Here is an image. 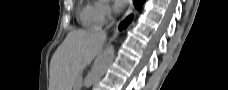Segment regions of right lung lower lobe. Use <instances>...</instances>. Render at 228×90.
Wrapping results in <instances>:
<instances>
[{"instance_id": "obj_1", "label": "right lung lower lobe", "mask_w": 228, "mask_h": 90, "mask_svg": "<svg viewBox=\"0 0 228 90\" xmlns=\"http://www.w3.org/2000/svg\"><path fill=\"white\" fill-rule=\"evenodd\" d=\"M133 3L136 9H140L144 3V0H133ZM133 16L130 15L124 22H122L119 26V29L125 28L132 20Z\"/></svg>"}]
</instances>
